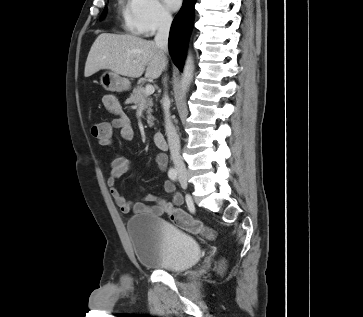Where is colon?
<instances>
[{
    "label": "colon",
    "mask_w": 363,
    "mask_h": 317,
    "mask_svg": "<svg viewBox=\"0 0 363 317\" xmlns=\"http://www.w3.org/2000/svg\"><path fill=\"white\" fill-rule=\"evenodd\" d=\"M103 124L104 123H94L91 126V133L93 136H98L101 133V127ZM168 215L170 220L183 230L193 234L202 235L207 239H212L214 236V232L211 228L178 208L171 207L168 211Z\"/></svg>",
    "instance_id": "colon-1"
}]
</instances>
